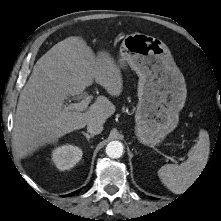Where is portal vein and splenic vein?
<instances>
[{
  "mask_svg": "<svg viewBox=\"0 0 221 221\" xmlns=\"http://www.w3.org/2000/svg\"><path fill=\"white\" fill-rule=\"evenodd\" d=\"M92 99V96H86L84 99H82L79 103H72L68 105V109H75L77 111H85L88 108V105ZM167 159L171 160L174 162V158L172 156H165Z\"/></svg>",
  "mask_w": 221,
  "mask_h": 221,
  "instance_id": "portal-vein-and-splenic-vein-1",
  "label": "portal vein and splenic vein"
}]
</instances>
